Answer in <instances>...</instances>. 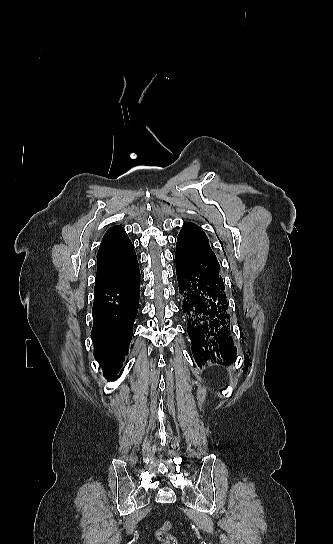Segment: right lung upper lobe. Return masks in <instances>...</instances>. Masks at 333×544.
I'll use <instances>...</instances> for the list:
<instances>
[{"label":"right lung upper lobe","instance_id":"cb5924a9","mask_svg":"<svg viewBox=\"0 0 333 544\" xmlns=\"http://www.w3.org/2000/svg\"><path fill=\"white\" fill-rule=\"evenodd\" d=\"M137 262L136 253L125 230L111 227L104 235L97 254L95 288L111 283L126 273Z\"/></svg>","mask_w":333,"mask_h":544}]
</instances>
